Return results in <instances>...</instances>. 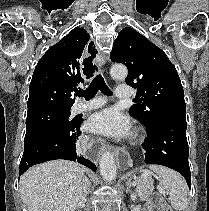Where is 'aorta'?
I'll list each match as a JSON object with an SVG mask.
<instances>
[{"label":"aorta","instance_id":"762f6f07","mask_svg":"<svg viewBox=\"0 0 209 211\" xmlns=\"http://www.w3.org/2000/svg\"><path fill=\"white\" fill-rule=\"evenodd\" d=\"M111 77L115 80H123L128 74V70L124 65L117 64L111 67ZM100 173L106 182L116 179L117 168L114 162V156L111 152H105L99 163Z\"/></svg>","mask_w":209,"mask_h":211}]
</instances>
